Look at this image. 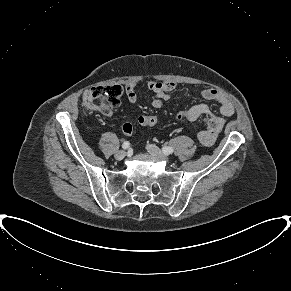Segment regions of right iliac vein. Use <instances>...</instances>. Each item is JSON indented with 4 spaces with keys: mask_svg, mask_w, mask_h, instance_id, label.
Wrapping results in <instances>:
<instances>
[{
    "mask_svg": "<svg viewBox=\"0 0 291 291\" xmlns=\"http://www.w3.org/2000/svg\"><path fill=\"white\" fill-rule=\"evenodd\" d=\"M125 156H126V151L124 150L117 151L115 154V158L117 160H122L123 158H125Z\"/></svg>",
    "mask_w": 291,
    "mask_h": 291,
    "instance_id": "1",
    "label": "right iliac vein"
}]
</instances>
